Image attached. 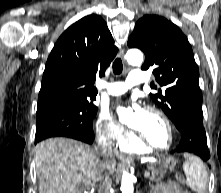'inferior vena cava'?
Returning a JSON list of instances; mask_svg holds the SVG:
<instances>
[{
  "label": "inferior vena cava",
  "instance_id": "602c4592",
  "mask_svg": "<svg viewBox=\"0 0 221 193\" xmlns=\"http://www.w3.org/2000/svg\"><path fill=\"white\" fill-rule=\"evenodd\" d=\"M98 148L104 153L108 154L112 152V142L106 138L100 139L98 142ZM110 180L109 176L102 177L99 181L98 193H109Z\"/></svg>",
  "mask_w": 221,
  "mask_h": 193
}]
</instances>
